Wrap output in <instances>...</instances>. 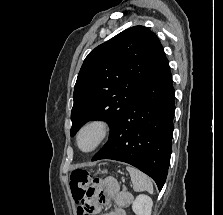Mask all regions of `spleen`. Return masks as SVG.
Listing matches in <instances>:
<instances>
[{"label": "spleen", "instance_id": "spleen-1", "mask_svg": "<svg viewBox=\"0 0 223 215\" xmlns=\"http://www.w3.org/2000/svg\"><path fill=\"white\" fill-rule=\"evenodd\" d=\"M126 169L130 173L134 191H149V193H153V183L148 175H145L139 169H135V167H130V165H127Z\"/></svg>", "mask_w": 223, "mask_h": 215}]
</instances>
